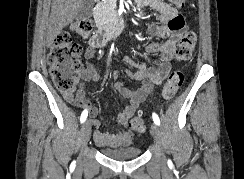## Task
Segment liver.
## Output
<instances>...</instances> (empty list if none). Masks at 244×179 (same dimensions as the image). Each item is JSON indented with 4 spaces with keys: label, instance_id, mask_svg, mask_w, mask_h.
Masks as SVG:
<instances>
[{
    "label": "liver",
    "instance_id": "liver-1",
    "mask_svg": "<svg viewBox=\"0 0 244 179\" xmlns=\"http://www.w3.org/2000/svg\"><path fill=\"white\" fill-rule=\"evenodd\" d=\"M82 0H52L51 14L47 26V44L50 46L61 30L71 24Z\"/></svg>",
    "mask_w": 244,
    "mask_h": 179
}]
</instances>
